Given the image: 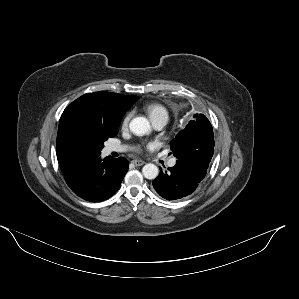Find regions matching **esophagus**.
Returning <instances> with one entry per match:
<instances>
[{
  "mask_svg": "<svg viewBox=\"0 0 299 299\" xmlns=\"http://www.w3.org/2000/svg\"><path fill=\"white\" fill-rule=\"evenodd\" d=\"M132 163H133L135 166H142V165L145 164L144 161H142V160H138V159L133 160Z\"/></svg>",
  "mask_w": 299,
  "mask_h": 299,
  "instance_id": "1",
  "label": "esophagus"
}]
</instances>
